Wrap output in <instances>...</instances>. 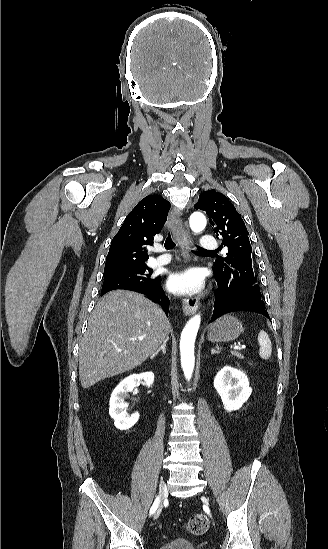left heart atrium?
<instances>
[{
  "instance_id": "1",
  "label": "left heart atrium",
  "mask_w": 328,
  "mask_h": 549,
  "mask_svg": "<svg viewBox=\"0 0 328 549\" xmlns=\"http://www.w3.org/2000/svg\"><path fill=\"white\" fill-rule=\"evenodd\" d=\"M203 282V274L199 269H188L172 275L168 280V286L177 294L194 293L201 290Z\"/></svg>"
}]
</instances>
